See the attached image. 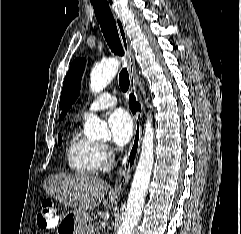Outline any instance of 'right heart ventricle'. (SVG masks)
<instances>
[{"mask_svg":"<svg viewBox=\"0 0 241 234\" xmlns=\"http://www.w3.org/2000/svg\"><path fill=\"white\" fill-rule=\"evenodd\" d=\"M66 160L70 170L79 175L95 174L104 165L100 145L84 137L78 129H74L68 138Z\"/></svg>","mask_w":241,"mask_h":234,"instance_id":"right-heart-ventricle-1","label":"right heart ventricle"}]
</instances>
